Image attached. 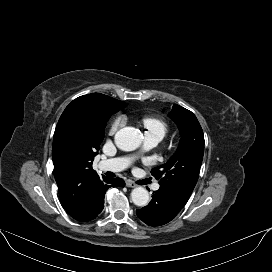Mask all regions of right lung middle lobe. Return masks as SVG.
Here are the masks:
<instances>
[{"mask_svg":"<svg viewBox=\"0 0 272 272\" xmlns=\"http://www.w3.org/2000/svg\"><path fill=\"white\" fill-rule=\"evenodd\" d=\"M122 108H124V106L103 108L97 115L92 130L89 131L87 137L89 140L94 142L98 148L104 138V128L106 126L107 121L109 120L112 114L118 112Z\"/></svg>","mask_w":272,"mask_h":272,"instance_id":"dd1d6c3e","label":"right lung middle lobe"}]
</instances>
